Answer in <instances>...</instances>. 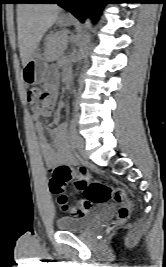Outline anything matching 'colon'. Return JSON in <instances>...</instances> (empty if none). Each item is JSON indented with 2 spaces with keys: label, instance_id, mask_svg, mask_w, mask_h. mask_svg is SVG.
Segmentation results:
<instances>
[{
  "label": "colon",
  "instance_id": "obj_1",
  "mask_svg": "<svg viewBox=\"0 0 166 267\" xmlns=\"http://www.w3.org/2000/svg\"><path fill=\"white\" fill-rule=\"evenodd\" d=\"M53 98V93L45 92L40 88H32L28 92V101L34 113L50 109ZM80 172L81 176L75 181V185L84 193L85 198L75 205H70L64 195V190L66 184L73 180L74 171L68 166H57L53 169L49 188L53 194L59 196L58 204L63 210L81 217L87 215L93 205L113 200L120 206L117 211V219L110 224L109 230L129 219L133 211V203L128 198L124 188L109 186L97 180H90L84 167H81Z\"/></svg>",
  "mask_w": 166,
  "mask_h": 267
}]
</instances>
